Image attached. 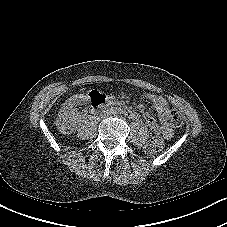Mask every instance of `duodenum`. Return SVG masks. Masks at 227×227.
I'll list each match as a JSON object with an SVG mask.
<instances>
[{"mask_svg":"<svg viewBox=\"0 0 227 227\" xmlns=\"http://www.w3.org/2000/svg\"><path fill=\"white\" fill-rule=\"evenodd\" d=\"M91 107L93 110H98L99 108L103 107L106 104V98L103 95H97L96 97L90 100ZM125 114L128 118L136 120L138 119V114L133 111H125Z\"/></svg>","mask_w":227,"mask_h":227,"instance_id":"duodenum-1","label":"duodenum"}]
</instances>
